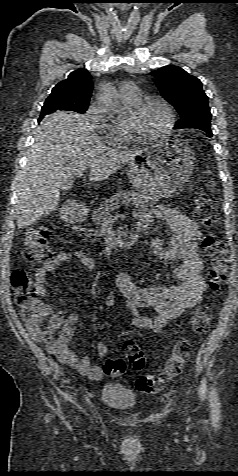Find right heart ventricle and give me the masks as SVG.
Listing matches in <instances>:
<instances>
[{"label": "right heart ventricle", "mask_w": 238, "mask_h": 476, "mask_svg": "<svg viewBox=\"0 0 238 476\" xmlns=\"http://www.w3.org/2000/svg\"><path fill=\"white\" fill-rule=\"evenodd\" d=\"M139 100H136V101H131V100H126L124 99V102L129 105V106H133L134 104H136ZM116 127L120 128L122 131H123V137H128V130L126 128V126L122 123V122H118L116 125Z\"/></svg>", "instance_id": "right-heart-ventricle-1"}]
</instances>
